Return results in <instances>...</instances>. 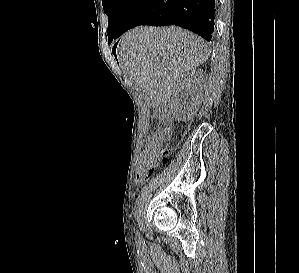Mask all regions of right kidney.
Wrapping results in <instances>:
<instances>
[{
  "instance_id": "right-kidney-1",
  "label": "right kidney",
  "mask_w": 299,
  "mask_h": 273,
  "mask_svg": "<svg viewBox=\"0 0 299 273\" xmlns=\"http://www.w3.org/2000/svg\"><path fill=\"white\" fill-rule=\"evenodd\" d=\"M206 79L203 70L193 69L177 80L170 99V109L174 111L177 120L186 121L197 112Z\"/></svg>"
}]
</instances>
